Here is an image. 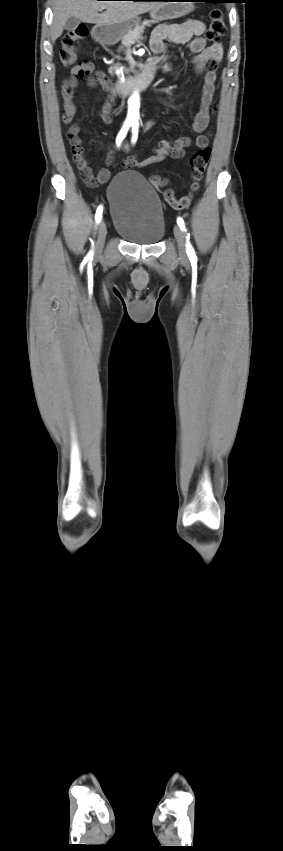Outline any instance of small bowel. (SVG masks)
Instances as JSON below:
<instances>
[{"label": "small bowel", "instance_id": "obj_1", "mask_svg": "<svg viewBox=\"0 0 283 851\" xmlns=\"http://www.w3.org/2000/svg\"><path fill=\"white\" fill-rule=\"evenodd\" d=\"M204 30L205 25L203 22L188 19L179 23L160 24L153 31L151 39V48L157 55L153 59L156 61L167 51L166 40L178 44L189 43L190 50L195 54L191 63L199 73L205 71L200 110L195 115L192 124L193 132L199 135L195 139L178 137L172 141L161 140L153 148L154 155L142 161H138L134 155H127L121 162L123 167H145L161 162L166 158L179 159L193 145L200 148L208 145L209 137L201 133L207 128L210 121V107L215 91V71L218 66L217 62L222 59L223 49L220 43L206 46L205 39L202 37ZM84 76H87L89 87H96L99 82L107 90L108 98L102 104L101 119L104 123L110 124L114 113L113 102L114 96L117 94V89L114 86H108L105 75L102 72H95L93 63L89 61L75 65L71 69V77L63 84L62 97L65 109L63 122L68 124L76 116L77 107L74 103V91L78 86L79 78ZM154 124L155 120L149 121L145 125L144 130L150 129ZM79 131V125L76 123L71 125L67 131V138L72 147L73 160L87 184H104L110 178V171L107 168H101L96 174L92 172L90 164L84 156L82 140L78 136ZM113 163V155L109 153L106 157V164L111 166Z\"/></svg>", "mask_w": 283, "mask_h": 851}]
</instances>
